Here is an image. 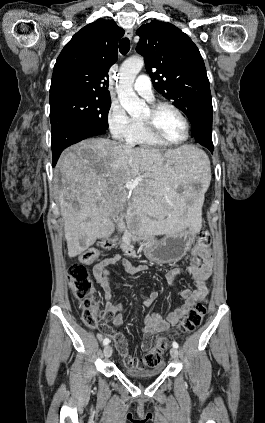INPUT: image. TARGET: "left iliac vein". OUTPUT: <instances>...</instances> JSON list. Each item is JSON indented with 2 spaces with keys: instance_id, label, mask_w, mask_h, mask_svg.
Returning a JSON list of instances; mask_svg holds the SVG:
<instances>
[{
  "instance_id": "4c4485c4",
  "label": "left iliac vein",
  "mask_w": 265,
  "mask_h": 423,
  "mask_svg": "<svg viewBox=\"0 0 265 423\" xmlns=\"http://www.w3.org/2000/svg\"><path fill=\"white\" fill-rule=\"evenodd\" d=\"M170 355H171L172 359L176 360L178 358V355H179L177 348H175V347L171 348Z\"/></svg>"
}]
</instances>
